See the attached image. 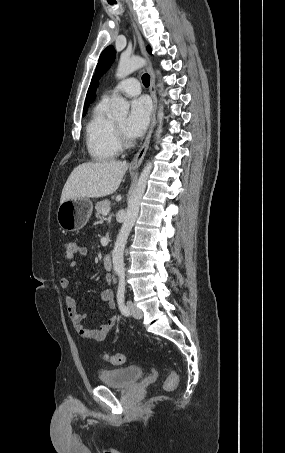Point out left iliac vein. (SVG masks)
I'll return each instance as SVG.
<instances>
[{"mask_svg":"<svg viewBox=\"0 0 285 453\" xmlns=\"http://www.w3.org/2000/svg\"><path fill=\"white\" fill-rule=\"evenodd\" d=\"M127 307L131 313V315L136 319H141L143 317L142 311L136 306L135 303L132 301L127 302Z\"/></svg>","mask_w":285,"mask_h":453,"instance_id":"4c4485c4","label":"left iliac vein"}]
</instances>
